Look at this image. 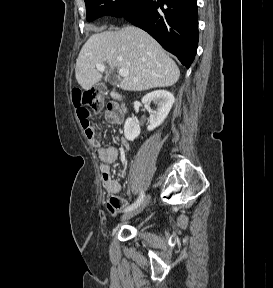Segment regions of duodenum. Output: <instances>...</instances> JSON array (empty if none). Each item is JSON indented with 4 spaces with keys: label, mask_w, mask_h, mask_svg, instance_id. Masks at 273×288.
Returning <instances> with one entry per match:
<instances>
[{
    "label": "duodenum",
    "mask_w": 273,
    "mask_h": 288,
    "mask_svg": "<svg viewBox=\"0 0 273 288\" xmlns=\"http://www.w3.org/2000/svg\"><path fill=\"white\" fill-rule=\"evenodd\" d=\"M112 97L115 101V114L124 117L125 115V105L122 96L116 91L112 92Z\"/></svg>",
    "instance_id": "1"
}]
</instances>
